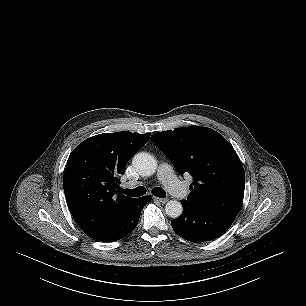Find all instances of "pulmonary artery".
<instances>
[{
  "mask_svg": "<svg viewBox=\"0 0 306 306\" xmlns=\"http://www.w3.org/2000/svg\"><path fill=\"white\" fill-rule=\"evenodd\" d=\"M158 178L166 186L168 191L175 197L182 199L187 195L185 186L178 180L172 167L167 163H162L158 169ZM126 184L125 187H131Z\"/></svg>",
  "mask_w": 306,
  "mask_h": 306,
  "instance_id": "pulmonary-artery-1",
  "label": "pulmonary artery"
}]
</instances>
